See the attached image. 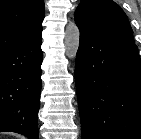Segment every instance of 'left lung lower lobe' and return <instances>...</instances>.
Here are the masks:
<instances>
[{"instance_id": "1", "label": "left lung lower lobe", "mask_w": 141, "mask_h": 139, "mask_svg": "<svg viewBox=\"0 0 141 139\" xmlns=\"http://www.w3.org/2000/svg\"><path fill=\"white\" fill-rule=\"evenodd\" d=\"M79 30L75 80L82 139H141L137 46Z\"/></svg>"}]
</instances>
